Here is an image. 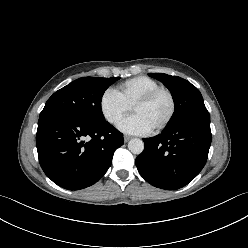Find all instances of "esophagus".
I'll return each mask as SVG.
<instances>
[{"label": "esophagus", "mask_w": 248, "mask_h": 248, "mask_svg": "<svg viewBox=\"0 0 248 248\" xmlns=\"http://www.w3.org/2000/svg\"><path fill=\"white\" fill-rule=\"evenodd\" d=\"M131 139V136L128 135H124V141L128 142Z\"/></svg>", "instance_id": "1"}]
</instances>
